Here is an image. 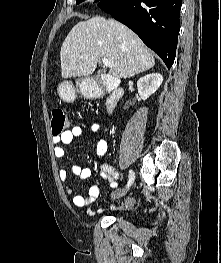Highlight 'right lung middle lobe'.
I'll return each mask as SVG.
<instances>
[{
  "label": "right lung middle lobe",
  "mask_w": 221,
  "mask_h": 263,
  "mask_svg": "<svg viewBox=\"0 0 221 263\" xmlns=\"http://www.w3.org/2000/svg\"><path fill=\"white\" fill-rule=\"evenodd\" d=\"M84 0H76V4H79L81 2H83ZM95 1H98V0H95Z\"/></svg>",
  "instance_id": "dd1d6c3e"
}]
</instances>
